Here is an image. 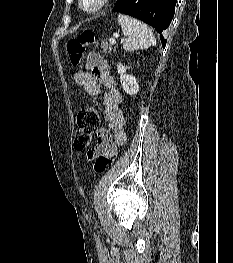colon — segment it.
I'll return each instance as SVG.
<instances>
[{"mask_svg": "<svg viewBox=\"0 0 233 263\" xmlns=\"http://www.w3.org/2000/svg\"><path fill=\"white\" fill-rule=\"evenodd\" d=\"M96 38L92 31L85 30L67 44L70 62L79 66L82 62L87 45L95 43ZM100 123L99 113L90 106L83 107L77 115V129L74 135V147L78 151L86 150L91 144L94 134L97 133ZM114 156H99L93 165L96 173H103L113 162Z\"/></svg>", "mask_w": 233, "mask_h": 263, "instance_id": "5ec220e1", "label": "colon"}]
</instances>
